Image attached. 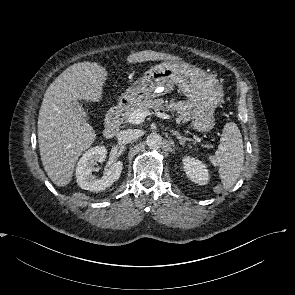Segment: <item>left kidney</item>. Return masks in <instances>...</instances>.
Wrapping results in <instances>:
<instances>
[{"mask_svg":"<svg viewBox=\"0 0 295 295\" xmlns=\"http://www.w3.org/2000/svg\"><path fill=\"white\" fill-rule=\"evenodd\" d=\"M182 161L186 175L191 181L199 185L208 183L209 173L204 163L190 156H185Z\"/></svg>","mask_w":295,"mask_h":295,"instance_id":"1","label":"left kidney"}]
</instances>
